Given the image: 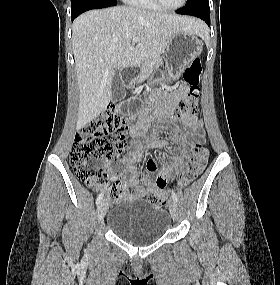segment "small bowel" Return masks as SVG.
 <instances>
[{"instance_id":"c3829d8e","label":"small bowel","mask_w":280,"mask_h":285,"mask_svg":"<svg viewBox=\"0 0 280 285\" xmlns=\"http://www.w3.org/2000/svg\"><path fill=\"white\" fill-rule=\"evenodd\" d=\"M187 91L188 86L184 83L180 84L177 90L168 96L164 108L158 116H167L174 112L179 103L185 98ZM135 119L136 123L131 127L130 134L134 138H142L149 129L150 121L142 115L137 116ZM181 122L185 127V131L183 133L176 132L174 134V141L180 144V154L174 155L171 162L163 164L160 170H158V163L154 158H148L146 160V170L150 174L155 175L154 180L148 177H144L140 180L136 163L142 159L143 154L148 149L170 148V145L165 141L153 140L151 142H144L137 140L133 144L134 148L130 156L115 161L118 168L127 175V177L114 176V178L120 182L119 198L140 199L146 197L153 192L163 190L168 180L182 173L184 158L196 141H203L204 132L197 115L183 114L181 116ZM129 189H134V191L130 192Z\"/></svg>"}]
</instances>
